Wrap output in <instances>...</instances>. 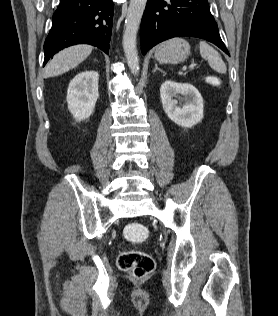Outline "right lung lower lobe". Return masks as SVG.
<instances>
[{
  "label": "right lung lower lobe",
  "instance_id": "1",
  "mask_svg": "<svg viewBox=\"0 0 278 316\" xmlns=\"http://www.w3.org/2000/svg\"><path fill=\"white\" fill-rule=\"evenodd\" d=\"M112 19V0H60L44 43V65L55 53L75 44L94 45L108 54Z\"/></svg>",
  "mask_w": 278,
  "mask_h": 316
}]
</instances>
